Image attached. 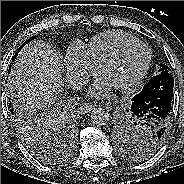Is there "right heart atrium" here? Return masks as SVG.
I'll return each mask as SVG.
<instances>
[{
	"label": "right heart atrium",
	"instance_id": "1",
	"mask_svg": "<svg viewBox=\"0 0 184 184\" xmlns=\"http://www.w3.org/2000/svg\"><path fill=\"white\" fill-rule=\"evenodd\" d=\"M64 63L69 82L77 87L85 84L89 77L96 75L99 70V66L89 55L87 47L79 41L70 44Z\"/></svg>",
	"mask_w": 184,
	"mask_h": 184
}]
</instances>
